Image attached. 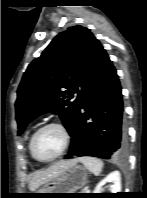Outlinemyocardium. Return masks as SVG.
<instances>
[{
  "instance_id": "f54148a6",
  "label": "myocardium",
  "mask_w": 147,
  "mask_h": 198,
  "mask_svg": "<svg viewBox=\"0 0 147 198\" xmlns=\"http://www.w3.org/2000/svg\"><path fill=\"white\" fill-rule=\"evenodd\" d=\"M50 127L57 128L61 131V133L63 135L64 142H63V146H62L61 150L56 155H54L53 157L47 158V159H43V158H40L36 154V152L34 150V141H35L37 135L41 131H43L44 129L50 128ZM70 141H71V134H70V131L67 128V126L61 122L53 121V122H48V123L42 125L32 134V136L30 138L29 149H30L31 155L33 156L34 159H36L39 162L47 163V162H52V161L58 159L59 157H61L66 152V150L70 144Z\"/></svg>"
}]
</instances>
